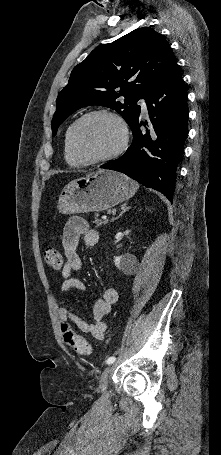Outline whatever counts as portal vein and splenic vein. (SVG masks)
<instances>
[{"label":"portal vein and splenic vein","instance_id":"portal-vein-and-splenic-vein-1","mask_svg":"<svg viewBox=\"0 0 221 455\" xmlns=\"http://www.w3.org/2000/svg\"><path fill=\"white\" fill-rule=\"evenodd\" d=\"M102 219L107 222V217L106 216H102Z\"/></svg>","mask_w":221,"mask_h":455}]
</instances>
